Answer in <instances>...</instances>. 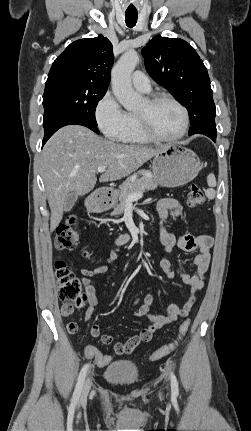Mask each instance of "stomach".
Listing matches in <instances>:
<instances>
[{"label": "stomach", "instance_id": "1", "mask_svg": "<svg viewBox=\"0 0 251 431\" xmlns=\"http://www.w3.org/2000/svg\"><path fill=\"white\" fill-rule=\"evenodd\" d=\"M201 170L197 155L182 146L169 145L155 156L152 163L154 180L162 187H178L192 181ZM115 203L113 194L100 191L87 198L85 205L92 212H104Z\"/></svg>", "mask_w": 251, "mask_h": 431}]
</instances>
